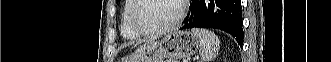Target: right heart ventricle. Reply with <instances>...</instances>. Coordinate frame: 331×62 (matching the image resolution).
<instances>
[{
  "mask_svg": "<svg viewBox=\"0 0 331 62\" xmlns=\"http://www.w3.org/2000/svg\"><path fill=\"white\" fill-rule=\"evenodd\" d=\"M135 0H128L123 5V11L121 15V34L127 40H136L140 38V34H138L132 27L130 22V14L132 8L134 6Z\"/></svg>",
  "mask_w": 331,
  "mask_h": 62,
  "instance_id": "obj_1",
  "label": "right heart ventricle"
}]
</instances>
